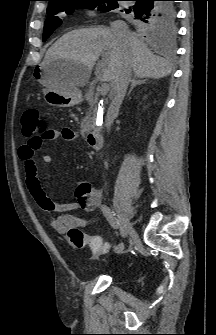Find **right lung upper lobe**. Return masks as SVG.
<instances>
[{
    "mask_svg": "<svg viewBox=\"0 0 216 335\" xmlns=\"http://www.w3.org/2000/svg\"><path fill=\"white\" fill-rule=\"evenodd\" d=\"M46 1H49V4H51L53 2L62 1V0H46Z\"/></svg>",
    "mask_w": 216,
    "mask_h": 335,
    "instance_id": "1",
    "label": "right lung upper lobe"
}]
</instances>
